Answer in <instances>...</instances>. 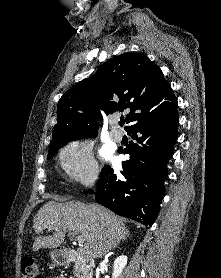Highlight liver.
<instances>
[{"label": "liver", "mask_w": 221, "mask_h": 278, "mask_svg": "<svg viewBox=\"0 0 221 278\" xmlns=\"http://www.w3.org/2000/svg\"><path fill=\"white\" fill-rule=\"evenodd\" d=\"M33 228L39 235L33 243L34 251L59 247L69 233L84 239L78 254L89 259L102 258L129 235L122 220L113 212L98 204L79 201H48L34 217ZM45 229L54 230L53 235L41 236Z\"/></svg>", "instance_id": "obj_1"}]
</instances>
